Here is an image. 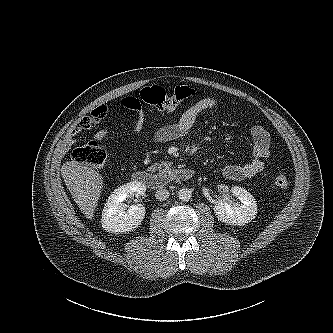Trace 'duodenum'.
<instances>
[{"label": "duodenum", "instance_id": "duodenum-1", "mask_svg": "<svg viewBox=\"0 0 333 333\" xmlns=\"http://www.w3.org/2000/svg\"><path fill=\"white\" fill-rule=\"evenodd\" d=\"M194 177V171L187 167L172 168L161 172L136 171L133 180L151 189H161L173 181H188Z\"/></svg>", "mask_w": 333, "mask_h": 333}]
</instances>
